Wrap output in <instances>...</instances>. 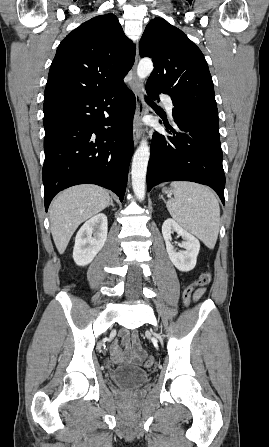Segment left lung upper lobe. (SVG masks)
Masks as SVG:
<instances>
[{"label":"left lung upper lobe","mask_w":269,"mask_h":447,"mask_svg":"<svg viewBox=\"0 0 269 447\" xmlns=\"http://www.w3.org/2000/svg\"><path fill=\"white\" fill-rule=\"evenodd\" d=\"M139 51L141 57H151L154 63L146 88L170 95L178 115L219 126L207 62L181 30L154 18L145 28Z\"/></svg>","instance_id":"left-lung-upper-lobe-1"}]
</instances>
